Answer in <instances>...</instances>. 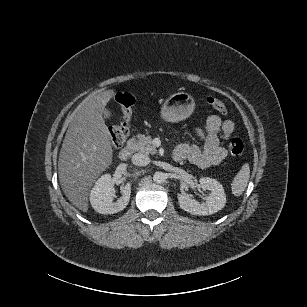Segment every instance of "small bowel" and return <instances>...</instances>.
<instances>
[{
	"mask_svg": "<svg viewBox=\"0 0 307 307\" xmlns=\"http://www.w3.org/2000/svg\"><path fill=\"white\" fill-rule=\"evenodd\" d=\"M235 130L232 120H222L218 115L208 116L206 125L197 128L196 134L203 141V146L180 144L174 152L176 161L187 160L200 168L220 164L227 156V150L221 145V139L228 140Z\"/></svg>",
	"mask_w": 307,
	"mask_h": 307,
	"instance_id": "obj_1",
	"label": "small bowel"
}]
</instances>
